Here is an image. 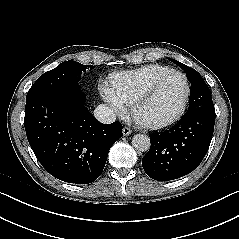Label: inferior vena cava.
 <instances>
[{
    "label": "inferior vena cava",
    "mask_w": 239,
    "mask_h": 239,
    "mask_svg": "<svg viewBox=\"0 0 239 239\" xmlns=\"http://www.w3.org/2000/svg\"><path fill=\"white\" fill-rule=\"evenodd\" d=\"M94 117L103 124H110L116 120L115 112L104 104L96 107Z\"/></svg>",
    "instance_id": "inferior-vena-cava-1"
}]
</instances>
